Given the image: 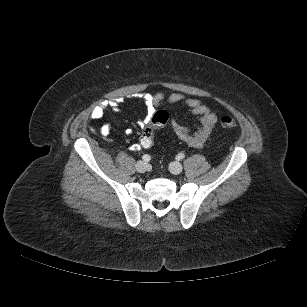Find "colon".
Masks as SVG:
<instances>
[{"instance_id": "1", "label": "colon", "mask_w": 307, "mask_h": 307, "mask_svg": "<svg viewBox=\"0 0 307 307\" xmlns=\"http://www.w3.org/2000/svg\"><path fill=\"white\" fill-rule=\"evenodd\" d=\"M168 118V112L165 110H159L153 114L151 118V124L143 130L140 136V144L143 147L149 148L153 145L156 129L165 125L168 121ZM220 125L226 129H233L236 126V123L231 117L223 116L220 119Z\"/></svg>"}]
</instances>
